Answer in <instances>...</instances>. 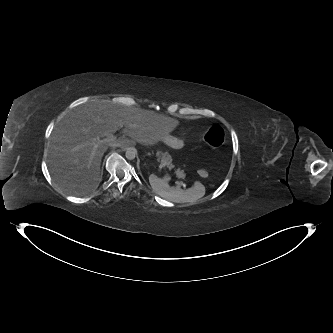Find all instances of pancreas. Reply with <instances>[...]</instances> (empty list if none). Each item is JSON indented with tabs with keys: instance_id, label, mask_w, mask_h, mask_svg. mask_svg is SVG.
<instances>
[{
	"instance_id": "obj_1",
	"label": "pancreas",
	"mask_w": 333,
	"mask_h": 333,
	"mask_svg": "<svg viewBox=\"0 0 333 333\" xmlns=\"http://www.w3.org/2000/svg\"><path fill=\"white\" fill-rule=\"evenodd\" d=\"M156 160L161 163L162 167L167 166L169 169L174 168V165L172 164V156L168 152L158 151ZM177 170L178 173L175 172L176 176L180 179H184L185 178L184 171L181 170L180 168Z\"/></svg>"
}]
</instances>
